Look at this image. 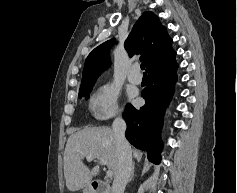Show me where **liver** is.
<instances>
[{"instance_id":"liver-1","label":"liver","mask_w":237,"mask_h":193,"mask_svg":"<svg viewBox=\"0 0 237 193\" xmlns=\"http://www.w3.org/2000/svg\"><path fill=\"white\" fill-rule=\"evenodd\" d=\"M87 155L104 158L108 169L116 174L118 152L111 128L85 126L68 138L64 152V177L66 187L71 192L87 187L99 173V166L90 170L83 163Z\"/></svg>"}]
</instances>
